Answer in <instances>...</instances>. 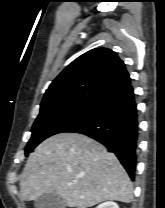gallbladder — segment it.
Listing matches in <instances>:
<instances>
[{
    "label": "gallbladder",
    "instance_id": "obj_1",
    "mask_svg": "<svg viewBox=\"0 0 165 208\" xmlns=\"http://www.w3.org/2000/svg\"><path fill=\"white\" fill-rule=\"evenodd\" d=\"M35 208H66V203L55 192L44 193L35 200Z\"/></svg>",
    "mask_w": 165,
    "mask_h": 208
}]
</instances>
